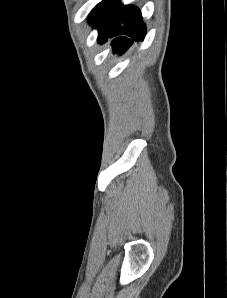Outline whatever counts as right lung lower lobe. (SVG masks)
<instances>
[{
    "label": "right lung lower lobe",
    "mask_w": 227,
    "mask_h": 298,
    "mask_svg": "<svg viewBox=\"0 0 227 298\" xmlns=\"http://www.w3.org/2000/svg\"><path fill=\"white\" fill-rule=\"evenodd\" d=\"M92 23L93 27L99 30L100 43L116 37L113 41L114 51L120 53L131 46L132 40H143L146 33L140 11L134 6H124L115 0Z\"/></svg>",
    "instance_id": "obj_1"
}]
</instances>
